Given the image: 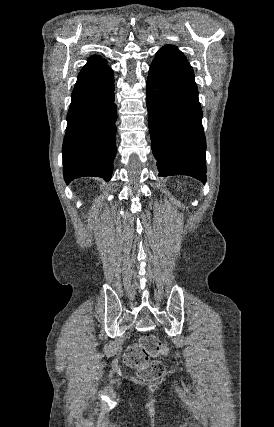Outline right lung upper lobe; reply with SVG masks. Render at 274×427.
<instances>
[{"mask_svg":"<svg viewBox=\"0 0 274 427\" xmlns=\"http://www.w3.org/2000/svg\"><path fill=\"white\" fill-rule=\"evenodd\" d=\"M106 63H107L106 60L101 58L100 56H97V55L91 56L88 60V63L84 66L83 69L102 66V65H105Z\"/></svg>","mask_w":274,"mask_h":427,"instance_id":"cb5924a9","label":"right lung upper lobe"}]
</instances>
